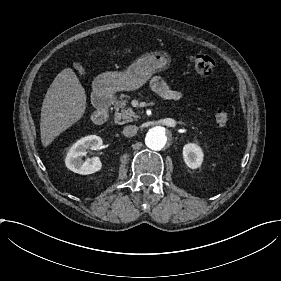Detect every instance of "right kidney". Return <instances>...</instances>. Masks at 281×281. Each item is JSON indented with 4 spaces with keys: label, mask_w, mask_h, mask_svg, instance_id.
I'll return each mask as SVG.
<instances>
[{
    "label": "right kidney",
    "mask_w": 281,
    "mask_h": 281,
    "mask_svg": "<svg viewBox=\"0 0 281 281\" xmlns=\"http://www.w3.org/2000/svg\"><path fill=\"white\" fill-rule=\"evenodd\" d=\"M89 148L96 151L103 149L102 139L99 136L90 135L74 143L66 154V167L80 175H89L100 171L102 163L98 158H88L86 160L82 158L87 154V149Z\"/></svg>",
    "instance_id": "1"
}]
</instances>
